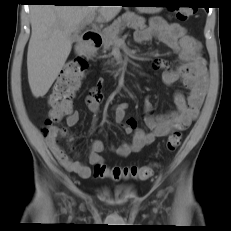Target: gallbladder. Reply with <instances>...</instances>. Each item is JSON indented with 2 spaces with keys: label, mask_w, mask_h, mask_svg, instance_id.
<instances>
[{
  "label": "gallbladder",
  "mask_w": 231,
  "mask_h": 231,
  "mask_svg": "<svg viewBox=\"0 0 231 231\" xmlns=\"http://www.w3.org/2000/svg\"><path fill=\"white\" fill-rule=\"evenodd\" d=\"M77 38V35L73 36L72 39L75 40Z\"/></svg>",
  "instance_id": "bac80fb5"
}]
</instances>
